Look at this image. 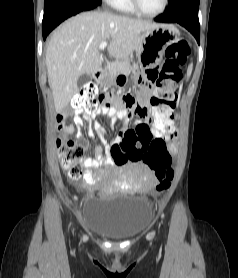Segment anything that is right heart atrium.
<instances>
[{
	"mask_svg": "<svg viewBox=\"0 0 238 278\" xmlns=\"http://www.w3.org/2000/svg\"><path fill=\"white\" fill-rule=\"evenodd\" d=\"M104 1H106L111 6H114L117 0H104Z\"/></svg>",
	"mask_w": 238,
	"mask_h": 278,
	"instance_id": "obj_1",
	"label": "right heart atrium"
}]
</instances>
